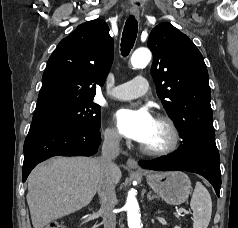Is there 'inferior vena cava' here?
I'll use <instances>...</instances> for the list:
<instances>
[{
	"label": "inferior vena cava",
	"instance_id": "obj_1",
	"mask_svg": "<svg viewBox=\"0 0 238 228\" xmlns=\"http://www.w3.org/2000/svg\"><path fill=\"white\" fill-rule=\"evenodd\" d=\"M120 136L116 132L105 133L101 156L98 158L99 175L97 192L100 197L104 228L116 227V194L113 171L116 168L113 160L119 155Z\"/></svg>",
	"mask_w": 238,
	"mask_h": 228
}]
</instances>
